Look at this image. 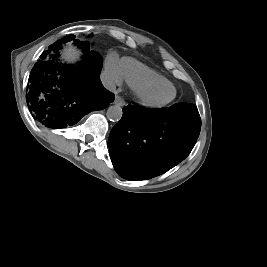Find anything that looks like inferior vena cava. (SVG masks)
I'll use <instances>...</instances> for the list:
<instances>
[{
    "label": "inferior vena cava",
    "instance_id": "1",
    "mask_svg": "<svg viewBox=\"0 0 267 267\" xmlns=\"http://www.w3.org/2000/svg\"><path fill=\"white\" fill-rule=\"evenodd\" d=\"M100 79H101V82H102L103 86L106 89H108L110 91L115 90V88H116L115 82L113 81V79L107 73H102L100 75Z\"/></svg>",
    "mask_w": 267,
    "mask_h": 267
}]
</instances>
